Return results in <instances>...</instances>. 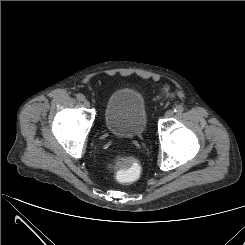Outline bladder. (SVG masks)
<instances>
[{
	"instance_id": "31cf9c89",
	"label": "bladder",
	"mask_w": 245,
	"mask_h": 245,
	"mask_svg": "<svg viewBox=\"0 0 245 245\" xmlns=\"http://www.w3.org/2000/svg\"><path fill=\"white\" fill-rule=\"evenodd\" d=\"M103 117L109 133L121 138L138 137L147 125L144 99L134 89H118L107 99Z\"/></svg>"
}]
</instances>
